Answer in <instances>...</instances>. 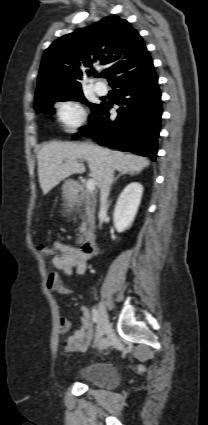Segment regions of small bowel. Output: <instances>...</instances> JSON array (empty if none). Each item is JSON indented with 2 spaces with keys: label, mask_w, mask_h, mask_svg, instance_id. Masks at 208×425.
<instances>
[{
  "label": "small bowel",
  "mask_w": 208,
  "mask_h": 425,
  "mask_svg": "<svg viewBox=\"0 0 208 425\" xmlns=\"http://www.w3.org/2000/svg\"><path fill=\"white\" fill-rule=\"evenodd\" d=\"M53 249L58 252L52 259L56 270L49 274L47 287L59 295H69L71 290L64 284L60 274L83 275L87 271L90 256L77 247L59 241L53 244ZM79 311L81 317L78 324H75L70 318H60L61 332L73 330V333L63 343L65 351L69 353L86 351L94 336L88 308L81 306Z\"/></svg>",
  "instance_id": "c3829d8e"
}]
</instances>
